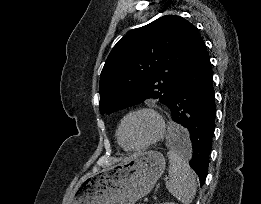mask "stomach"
<instances>
[{
    "label": "stomach",
    "instance_id": "obj_1",
    "mask_svg": "<svg viewBox=\"0 0 261 204\" xmlns=\"http://www.w3.org/2000/svg\"><path fill=\"white\" fill-rule=\"evenodd\" d=\"M165 164L164 156L157 151L133 155L83 177L71 204H135L153 189Z\"/></svg>",
    "mask_w": 261,
    "mask_h": 204
}]
</instances>
